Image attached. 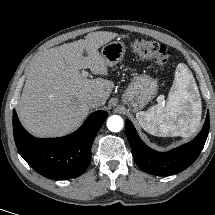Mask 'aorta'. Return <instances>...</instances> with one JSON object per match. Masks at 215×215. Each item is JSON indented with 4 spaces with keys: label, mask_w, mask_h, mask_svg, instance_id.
<instances>
[{
    "label": "aorta",
    "mask_w": 215,
    "mask_h": 215,
    "mask_svg": "<svg viewBox=\"0 0 215 215\" xmlns=\"http://www.w3.org/2000/svg\"><path fill=\"white\" fill-rule=\"evenodd\" d=\"M107 127L112 132H119L123 128V119L118 115L110 116L107 120Z\"/></svg>",
    "instance_id": "aorta-1"
}]
</instances>
